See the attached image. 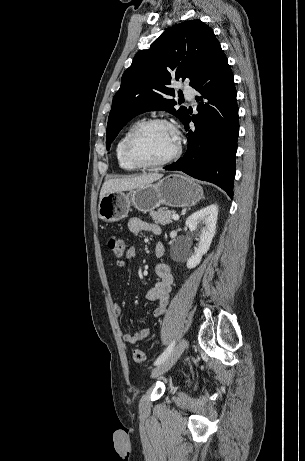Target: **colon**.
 Listing matches in <instances>:
<instances>
[{
	"label": "colon",
	"mask_w": 305,
	"mask_h": 461,
	"mask_svg": "<svg viewBox=\"0 0 305 461\" xmlns=\"http://www.w3.org/2000/svg\"><path fill=\"white\" fill-rule=\"evenodd\" d=\"M107 244L109 249L116 256L123 255L127 248L126 239L120 236H110L107 240ZM133 359L136 363H144L146 362V354L140 349H135L133 351Z\"/></svg>",
	"instance_id": "obj_1"
}]
</instances>
